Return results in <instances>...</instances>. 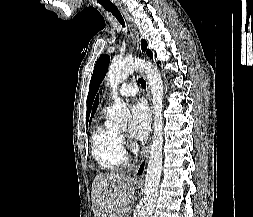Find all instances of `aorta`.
<instances>
[{"label": "aorta", "instance_id": "762f6f07", "mask_svg": "<svg viewBox=\"0 0 253 217\" xmlns=\"http://www.w3.org/2000/svg\"><path fill=\"white\" fill-rule=\"evenodd\" d=\"M142 70L149 82L154 110V133L151 151L145 176L143 206L140 217H152L158 197L162 160H163V81L157 66L151 62L126 58L113 62L107 73V82L112 89L114 103L109 111V118L115 126H126L130 119V111L122 99L118 97V85L135 70Z\"/></svg>", "mask_w": 253, "mask_h": 217}]
</instances>
